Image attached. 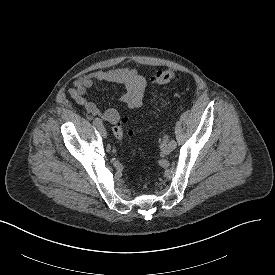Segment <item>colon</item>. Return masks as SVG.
<instances>
[{
	"mask_svg": "<svg viewBox=\"0 0 275 275\" xmlns=\"http://www.w3.org/2000/svg\"><path fill=\"white\" fill-rule=\"evenodd\" d=\"M178 76L171 70H162L152 76V83L156 86L173 85L178 81ZM127 119H122L113 128V134L117 139H122L127 134Z\"/></svg>",
	"mask_w": 275,
	"mask_h": 275,
	"instance_id": "1",
	"label": "colon"
}]
</instances>
